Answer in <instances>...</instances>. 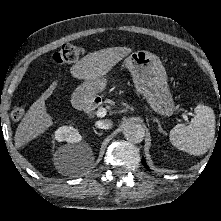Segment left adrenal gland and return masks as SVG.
Here are the masks:
<instances>
[{"instance_id":"1","label":"left adrenal gland","mask_w":221,"mask_h":221,"mask_svg":"<svg viewBox=\"0 0 221 221\" xmlns=\"http://www.w3.org/2000/svg\"><path fill=\"white\" fill-rule=\"evenodd\" d=\"M154 121L157 122V124H158V130H159L161 133L165 134V131L162 129V127H161L159 121L156 120V119H154Z\"/></svg>"}]
</instances>
